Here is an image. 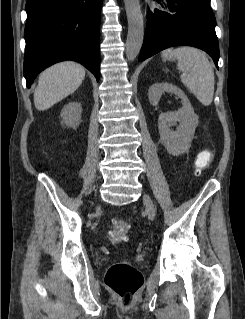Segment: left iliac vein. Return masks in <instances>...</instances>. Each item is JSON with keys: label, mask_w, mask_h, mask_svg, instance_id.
<instances>
[{"label": "left iliac vein", "mask_w": 245, "mask_h": 319, "mask_svg": "<svg viewBox=\"0 0 245 319\" xmlns=\"http://www.w3.org/2000/svg\"><path fill=\"white\" fill-rule=\"evenodd\" d=\"M143 201L149 217L153 220L156 217V209L149 195L144 194Z\"/></svg>", "instance_id": "obj_1"}]
</instances>
